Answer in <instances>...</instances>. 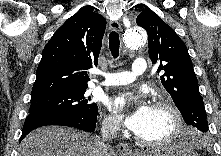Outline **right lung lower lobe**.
<instances>
[{
	"label": "right lung lower lobe",
	"mask_w": 221,
	"mask_h": 156,
	"mask_svg": "<svg viewBox=\"0 0 221 156\" xmlns=\"http://www.w3.org/2000/svg\"><path fill=\"white\" fill-rule=\"evenodd\" d=\"M97 115H62V114H28L20 141L32 130L47 125H62L74 127L87 132H93L96 127Z\"/></svg>",
	"instance_id": "98d812e1"
}]
</instances>
